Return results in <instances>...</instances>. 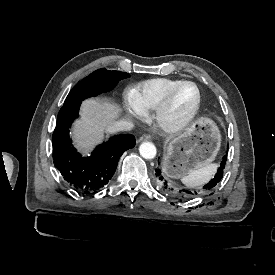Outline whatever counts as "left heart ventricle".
I'll use <instances>...</instances> for the list:
<instances>
[{"mask_svg": "<svg viewBox=\"0 0 275 275\" xmlns=\"http://www.w3.org/2000/svg\"><path fill=\"white\" fill-rule=\"evenodd\" d=\"M196 102V90L190 84L182 85L175 93L170 111L165 116L166 122H175L183 118Z\"/></svg>", "mask_w": 275, "mask_h": 275, "instance_id": "obj_1", "label": "left heart ventricle"}]
</instances>
